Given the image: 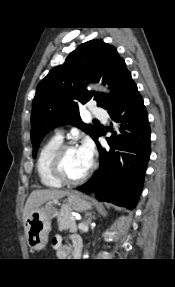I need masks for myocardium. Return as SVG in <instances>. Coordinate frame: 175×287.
<instances>
[{"instance_id": "1", "label": "myocardium", "mask_w": 175, "mask_h": 287, "mask_svg": "<svg viewBox=\"0 0 175 287\" xmlns=\"http://www.w3.org/2000/svg\"><path fill=\"white\" fill-rule=\"evenodd\" d=\"M77 146L74 143H62L59 147L55 150L52 155L50 168L52 175L64 184H79L85 181L93 170V162H91L89 168L78 178H70L66 175L64 168H63V158L69 149L76 148Z\"/></svg>"}]
</instances>
